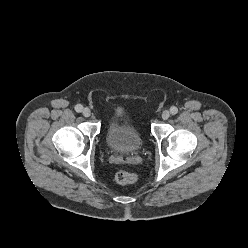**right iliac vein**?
Segmentation results:
<instances>
[{
	"mask_svg": "<svg viewBox=\"0 0 248 248\" xmlns=\"http://www.w3.org/2000/svg\"><path fill=\"white\" fill-rule=\"evenodd\" d=\"M82 113L85 117H89L91 115V111L89 108H84Z\"/></svg>",
	"mask_w": 248,
	"mask_h": 248,
	"instance_id": "right-iliac-vein-1",
	"label": "right iliac vein"
}]
</instances>
